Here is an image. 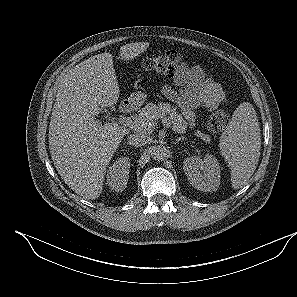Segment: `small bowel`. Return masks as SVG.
<instances>
[{"instance_id":"c3829d8e","label":"small bowel","mask_w":297,"mask_h":297,"mask_svg":"<svg viewBox=\"0 0 297 297\" xmlns=\"http://www.w3.org/2000/svg\"><path fill=\"white\" fill-rule=\"evenodd\" d=\"M162 94L179 107L189 125L195 123L199 109L213 110L228 104L222 86L199 64L183 63L173 78V85L163 86Z\"/></svg>"}]
</instances>
